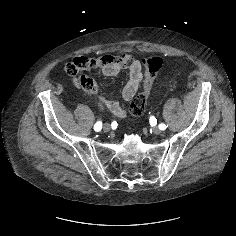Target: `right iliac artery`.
Returning <instances> with one entry per match:
<instances>
[{
	"mask_svg": "<svg viewBox=\"0 0 236 236\" xmlns=\"http://www.w3.org/2000/svg\"><path fill=\"white\" fill-rule=\"evenodd\" d=\"M102 128V122L101 121H98L95 125H94V130L95 131H100Z\"/></svg>",
	"mask_w": 236,
	"mask_h": 236,
	"instance_id": "obj_1",
	"label": "right iliac artery"
}]
</instances>
